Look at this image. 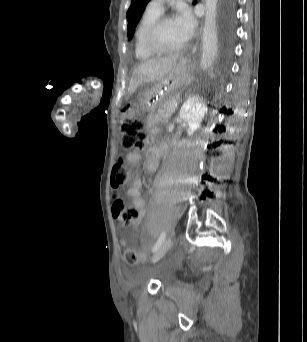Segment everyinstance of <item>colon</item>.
I'll return each instance as SVG.
<instances>
[{"mask_svg":"<svg viewBox=\"0 0 307 342\" xmlns=\"http://www.w3.org/2000/svg\"><path fill=\"white\" fill-rule=\"evenodd\" d=\"M119 131L122 135L121 146L125 151L140 152L143 150L147 135L144 128V123L132 113V108L125 107L120 113ZM124 153L120 152L116 157V162L112 166L110 174V186L113 191L121 189L129 180L130 173L128 171V162L123 159ZM113 216L123 226H129L136 217V209L133 206H128L125 201L114 195L112 199ZM121 245L125 249L124 259L129 265L137 264L142 266L146 261L142 257L143 252H137L129 247L126 239L121 240Z\"/></svg>","mask_w":307,"mask_h":342,"instance_id":"1","label":"colon"}]
</instances>
